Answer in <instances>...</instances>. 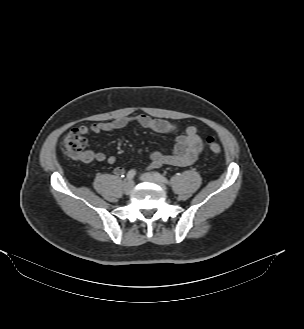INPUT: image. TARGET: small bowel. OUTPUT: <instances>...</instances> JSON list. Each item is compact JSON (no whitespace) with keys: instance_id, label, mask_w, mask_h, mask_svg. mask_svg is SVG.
<instances>
[{"instance_id":"1","label":"small bowel","mask_w":304,"mask_h":329,"mask_svg":"<svg viewBox=\"0 0 304 329\" xmlns=\"http://www.w3.org/2000/svg\"><path fill=\"white\" fill-rule=\"evenodd\" d=\"M135 123L145 129L163 134L176 135L173 153L169 155L154 151L150 154V169H156L164 164L187 166L194 163L203 149V142L198 135L197 129L193 126L185 128L183 131L181 127L172 121L152 118L146 114H138L133 117L124 116L117 118L110 122H94L90 125H82L79 127L83 135L90 133L99 134L102 132H112L126 128L130 124ZM84 163L92 161L107 162L114 164L115 156L102 152H95L92 150L85 151L80 159ZM117 174H122L124 170L117 168Z\"/></svg>"}]
</instances>
